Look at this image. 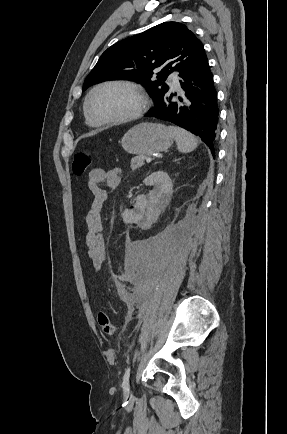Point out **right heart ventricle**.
I'll list each match as a JSON object with an SVG mask.
<instances>
[{"label":"right heart ventricle","instance_id":"right-heart-ventricle-1","mask_svg":"<svg viewBox=\"0 0 287 434\" xmlns=\"http://www.w3.org/2000/svg\"><path fill=\"white\" fill-rule=\"evenodd\" d=\"M86 123L92 126L94 125L87 117H86Z\"/></svg>","mask_w":287,"mask_h":434}]
</instances>
